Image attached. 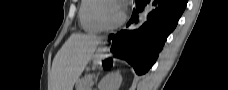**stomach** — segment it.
Listing matches in <instances>:
<instances>
[{"mask_svg": "<svg viewBox=\"0 0 228 90\" xmlns=\"http://www.w3.org/2000/svg\"><path fill=\"white\" fill-rule=\"evenodd\" d=\"M103 53H104V50L103 48H101L100 50H98L97 55L93 57V62L95 65L106 64L105 61H103V58L100 56Z\"/></svg>", "mask_w": 228, "mask_h": 90, "instance_id": "stomach-1", "label": "stomach"}]
</instances>
